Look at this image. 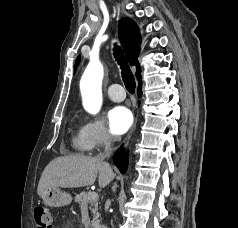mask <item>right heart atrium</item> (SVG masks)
I'll use <instances>...</instances> for the list:
<instances>
[{
  "label": "right heart atrium",
  "mask_w": 238,
  "mask_h": 228,
  "mask_svg": "<svg viewBox=\"0 0 238 228\" xmlns=\"http://www.w3.org/2000/svg\"><path fill=\"white\" fill-rule=\"evenodd\" d=\"M88 150L94 151L111 145L113 137L99 118H87L81 127Z\"/></svg>",
  "instance_id": "obj_1"
}]
</instances>
